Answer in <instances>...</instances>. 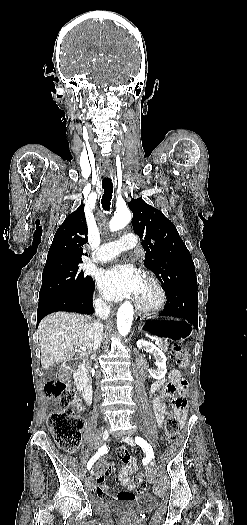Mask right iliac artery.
Masks as SVG:
<instances>
[{"label": "right iliac artery", "instance_id": "1", "mask_svg": "<svg viewBox=\"0 0 247 525\" xmlns=\"http://www.w3.org/2000/svg\"><path fill=\"white\" fill-rule=\"evenodd\" d=\"M108 446L107 445H104L102 447L99 448L98 452L89 460L88 464H87V469L90 470L91 467L93 466L94 462L101 456V455H104L108 452Z\"/></svg>", "mask_w": 247, "mask_h": 525}]
</instances>
